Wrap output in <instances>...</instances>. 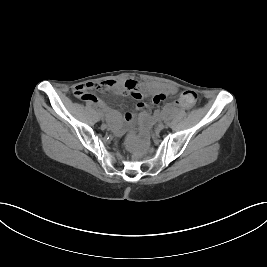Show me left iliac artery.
I'll return each mask as SVG.
<instances>
[{"label": "left iliac artery", "instance_id": "obj_1", "mask_svg": "<svg viewBox=\"0 0 267 267\" xmlns=\"http://www.w3.org/2000/svg\"><path fill=\"white\" fill-rule=\"evenodd\" d=\"M163 121H164L165 123H169V122L171 121V118H170V117H164V118H163Z\"/></svg>", "mask_w": 267, "mask_h": 267}]
</instances>
